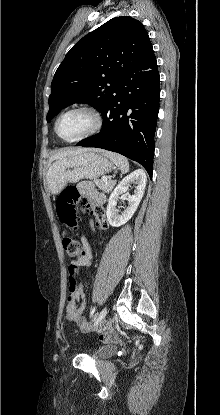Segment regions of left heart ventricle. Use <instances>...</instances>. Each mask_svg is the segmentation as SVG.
I'll use <instances>...</instances> for the list:
<instances>
[{"label":"left heart ventricle","instance_id":"obj_1","mask_svg":"<svg viewBox=\"0 0 220 415\" xmlns=\"http://www.w3.org/2000/svg\"><path fill=\"white\" fill-rule=\"evenodd\" d=\"M93 118L86 112H71L63 116L57 126L58 134L64 139H74L91 129Z\"/></svg>","mask_w":220,"mask_h":415}]
</instances>
